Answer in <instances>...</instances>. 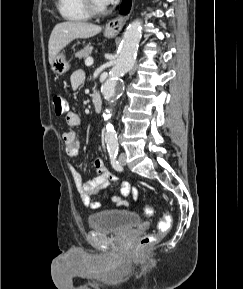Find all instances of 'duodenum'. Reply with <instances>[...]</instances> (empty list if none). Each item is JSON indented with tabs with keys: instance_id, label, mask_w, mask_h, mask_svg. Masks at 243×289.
Here are the masks:
<instances>
[{
	"instance_id": "1",
	"label": "duodenum",
	"mask_w": 243,
	"mask_h": 289,
	"mask_svg": "<svg viewBox=\"0 0 243 289\" xmlns=\"http://www.w3.org/2000/svg\"><path fill=\"white\" fill-rule=\"evenodd\" d=\"M93 107L96 112H100L102 110V98L98 92H95L92 97Z\"/></svg>"
}]
</instances>
